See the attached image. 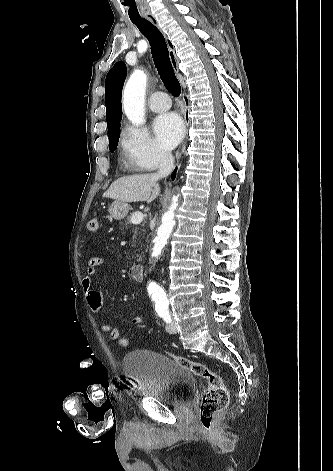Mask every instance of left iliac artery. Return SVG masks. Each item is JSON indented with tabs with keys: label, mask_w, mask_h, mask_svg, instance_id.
Here are the masks:
<instances>
[{
	"label": "left iliac artery",
	"mask_w": 333,
	"mask_h": 471,
	"mask_svg": "<svg viewBox=\"0 0 333 471\" xmlns=\"http://www.w3.org/2000/svg\"><path fill=\"white\" fill-rule=\"evenodd\" d=\"M159 316L162 317L166 323L171 322V316L168 311L159 312Z\"/></svg>",
	"instance_id": "left-iliac-artery-1"
}]
</instances>
